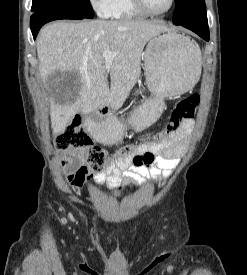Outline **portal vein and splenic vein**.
Returning <instances> with one entry per match:
<instances>
[{"mask_svg": "<svg viewBox=\"0 0 247 275\" xmlns=\"http://www.w3.org/2000/svg\"><path fill=\"white\" fill-rule=\"evenodd\" d=\"M115 55H116V53H114L110 50H105L102 54V57L104 58V60L106 62L108 70H109L110 63H111V61H112V59L114 58Z\"/></svg>", "mask_w": 247, "mask_h": 275, "instance_id": "1", "label": "portal vein and splenic vein"}]
</instances>
